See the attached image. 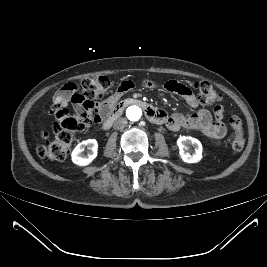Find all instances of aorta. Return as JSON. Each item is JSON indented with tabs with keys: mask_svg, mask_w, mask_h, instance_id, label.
Segmentation results:
<instances>
[{
	"mask_svg": "<svg viewBox=\"0 0 267 267\" xmlns=\"http://www.w3.org/2000/svg\"><path fill=\"white\" fill-rule=\"evenodd\" d=\"M126 116L130 121H138L142 116V110L136 105L130 106L126 110Z\"/></svg>",
	"mask_w": 267,
	"mask_h": 267,
	"instance_id": "aorta-1",
	"label": "aorta"
}]
</instances>
